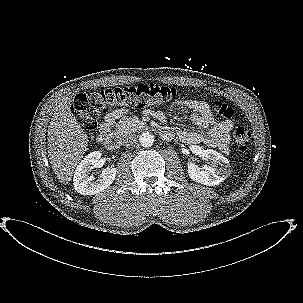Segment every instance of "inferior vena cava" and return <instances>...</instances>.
<instances>
[{"label":"inferior vena cava","instance_id":"inferior-vena-cava-1","mask_svg":"<svg viewBox=\"0 0 303 303\" xmlns=\"http://www.w3.org/2000/svg\"><path fill=\"white\" fill-rule=\"evenodd\" d=\"M136 143H137V137H136L135 134L128 133V134L125 135L124 144H125L126 147L135 146Z\"/></svg>","mask_w":303,"mask_h":303}]
</instances>
